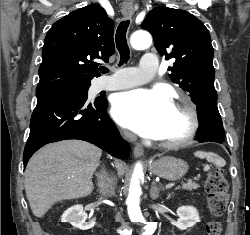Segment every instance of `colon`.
Masks as SVG:
<instances>
[{"mask_svg": "<svg viewBox=\"0 0 250 235\" xmlns=\"http://www.w3.org/2000/svg\"><path fill=\"white\" fill-rule=\"evenodd\" d=\"M207 193L208 208L212 216L221 217L228 204V182L225 176V170L215 167L208 173L205 184ZM208 235H221L222 224L213 220L208 222L206 226Z\"/></svg>", "mask_w": 250, "mask_h": 235, "instance_id": "1", "label": "colon"}]
</instances>
